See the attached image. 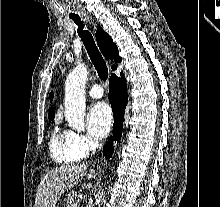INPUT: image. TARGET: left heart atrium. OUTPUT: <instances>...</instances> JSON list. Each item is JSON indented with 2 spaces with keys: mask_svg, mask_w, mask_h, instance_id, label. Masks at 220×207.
Returning <instances> with one entry per match:
<instances>
[{
  "mask_svg": "<svg viewBox=\"0 0 220 207\" xmlns=\"http://www.w3.org/2000/svg\"><path fill=\"white\" fill-rule=\"evenodd\" d=\"M112 120V111L107 103L94 104L87 114L89 134L97 139L105 137L111 128Z\"/></svg>",
  "mask_w": 220,
  "mask_h": 207,
  "instance_id": "39dd6f15",
  "label": "left heart atrium"
}]
</instances>
